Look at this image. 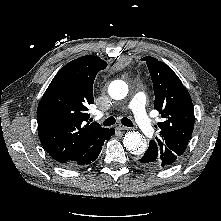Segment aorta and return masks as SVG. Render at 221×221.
<instances>
[{
    "label": "aorta",
    "instance_id": "obj_1",
    "mask_svg": "<svg viewBox=\"0 0 221 221\" xmlns=\"http://www.w3.org/2000/svg\"><path fill=\"white\" fill-rule=\"evenodd\" d=\"M108 93L111 98L121 100L128 94V85L122 80H114L110 83ZM126 150L134 155H139L146 150V141L137 131H129L125 134L123 140Z\"/></svg>",
    "mask_w": 221,
    "mask_h": 221
}]
</instances>
